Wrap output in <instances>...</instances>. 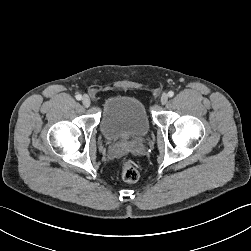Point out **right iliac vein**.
Instances as JSON below:
<instances>
[{"instance_id": "obj_1", "label": "right iliac vein", "mask_w": 251, "mask_h": 251, "mask_svg": "<svg viewBox=\"0 0 251 251\" xmlns=\"http://www.w3.org/2000/svg\"><path fill=\"white\" fill-rule=\"evenodd\" d=\"M82 103L85 107H89L91 104L90 98L87 95H84L82 98Z\"/></svg>"}]
</instances>
